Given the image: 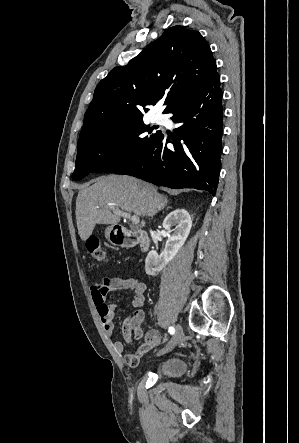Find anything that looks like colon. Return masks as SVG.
Masks as SVG:
<instances>
[{
  "instance_id": "obj_1",
  "label": "colon",
  "mask_w": 299,
  "mask_h": 443,
  "mask_svg": "<svg viewBox=\"0 0 299 443\" xmlns=\"http://www.w3.org/2000/svg\"><path fill=\"white\" fill-rule=\"evenodd\" d=\"M86 248L93 260L102 262L106 259V251L96 236H90L86 240Z\"/></svg>"
}]
</instances>
